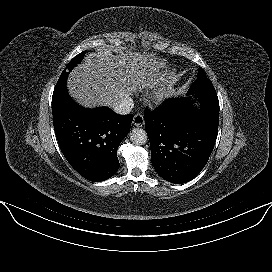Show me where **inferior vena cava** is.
Returning a JSON list of instances; mask_svg holds the SVG:
<instances>
[{
	"instance_id": "inferior-vena-cava-1",
	"label": "inferior vena cava",
	"mask_w": 272,
	"mask_h": 272,
	"mask_svg": "<svg viewBox=\"0 0 272 272\" xmlns=\"http://www.w3.org/2000/svg\"><path fill=\"white\" fill-rule=\"evenodd\" d=\"M133 107L134 102L131 97H123L111 106L114 112L121 115H126L130 113Z\"/></svg>"
}]
</instances>
